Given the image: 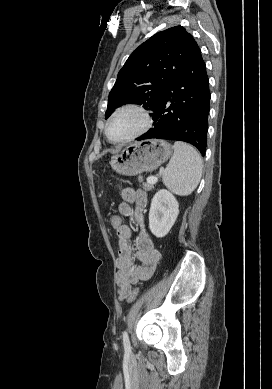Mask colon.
<instances>
[{
    "label": "colon",
    "mask_w": 272,
    "mask_h": 389,
    "mask_svg": "<svg viewBox=\"0 0 272 389\" xmlns=\"http://www.w3.org/2000/svg\"><path fill=\"white\" fill-rule=\"evenodd\" d=\"M109 222L111 227L117 231L122 225V218L119 214H112L109 218ZM138 294H139V290L135 288L129 292V294L126 297V300L128 302H133L136 300Z\"/></svg>",
    "instance_id": "obj_1"
}]
</instances>
